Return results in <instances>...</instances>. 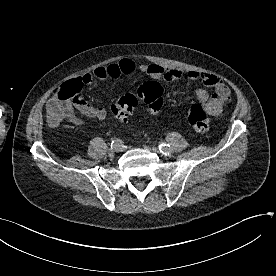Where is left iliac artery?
Listing matches in <instances>:
<instances>
[{
    "label": "left iliac artery",
    "instance_id": "obj_1",
    "mask_svg": "<svg viewBox=\"0 0 276 276\" xmlns=\"http://www.w3.org/2000/svg\"><path fill=\"white\" fill-rule=\"evenodd\" d=\"M159 150L162 152V153H169L172 151V148L169 144H166V143H161L159 145Z\"/></svg>",
    "mask_w": 276,
    "mask_h": 276
}]
</instances>
